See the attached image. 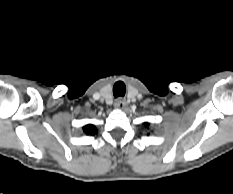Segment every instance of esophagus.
Returning <instances> with one entry per match:
<instances>
[{"instance_id": "obj_1", "label": "esophagus", "mask_w": 233, "mask_h": 194, "mask_svg": "<svg viewBox=\"0 0 233 194\" xmlns=\"http://www.w3.org/2000/svg\"><path fill=\"white\" fill-rule=\"evenodd\" d=\"M114 106L117 109H124L125 108V100L123 98L116 99Z\"/></svg>"}]
</instances>
